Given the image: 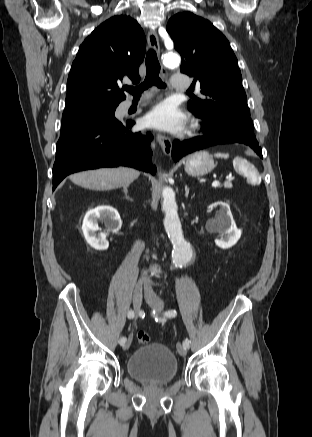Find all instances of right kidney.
<instances>
[{
	"label": "right kidney",
	"instance_id": "right-kidney-1",
	"mask_svg": "<svg viewBox=\"0 0 312 437\" xmlns=\"http://www.w3.org/2000/svg\"><path fill=\"white\" fill-rule=\"evenodd\" d=\"M98 221L105 223L107 233L100 232ZM122 221L117 210L108 205L98 206L88 211L84 217L82 231L87 243L97 250H105L109 246L107 235L117 233Z\"/></svg>",
	"mask_w": 312,
	"mask_h": 437
}]
</instances>
